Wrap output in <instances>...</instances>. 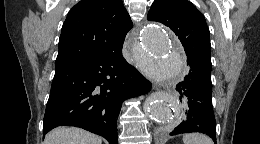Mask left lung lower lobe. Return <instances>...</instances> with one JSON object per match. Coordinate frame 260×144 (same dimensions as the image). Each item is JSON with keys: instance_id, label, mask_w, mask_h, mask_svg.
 Here are the masks:
<instances>
[{"instance_id": "1", "label": "left lung lower lobe", "mask_w": 260, "mask_h": 144, "mask_svg": "<svg viewBox=\"0 0 260 144\" xmlns=\"http://www.w3.org/2000/svg\"><path fill=\"white\" fill-rule=\"evenodd\" d=\"M191 67L184 81L177 84L176 91L184 104L181 123L170 133L201 132L216 143V121L212 106L211 67L195 60H188Z\"/></svg>"}]
</instances>
